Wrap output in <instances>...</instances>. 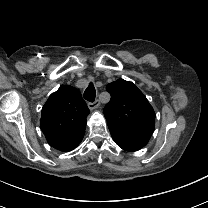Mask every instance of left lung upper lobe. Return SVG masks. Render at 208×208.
<instances>
[{"mask_svg":"<svg viewBox=\"0 0 208 208\" xmlns=\"http://www.w3.org/2000/svg\"><path fill=\"white\" fill-rule=\"evenodd\" d=\"M111 100L104 108L107 124L141 130L150 139L155 127V113L144 94L122 78L109 83Z\"/></svg>","mask_w":208,"mask_h":208,"instance_id":"left-lung-upper-lobe-1","label":"left lung upper lobe"}]
</instances>
